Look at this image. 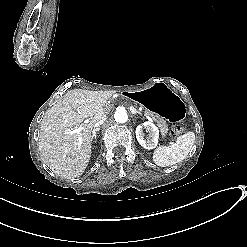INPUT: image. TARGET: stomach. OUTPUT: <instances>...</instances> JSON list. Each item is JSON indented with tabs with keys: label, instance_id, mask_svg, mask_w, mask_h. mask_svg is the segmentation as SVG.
<instances>
[{
	"label": "stomach",
	"instance_id": "1",
	"mask_svg": "<svg viewBox=\"0 0 247 247\" xmlns=\"http://www.w3.org/2000/svg\"><path fill=\"white\" fill-rule=\"evenodd\" d=\"M127 95L165 121L175 123L181 122L185 118V102L163 83H157Z\"/></svg>",
	"mask_w": 247,
	"mask_h": 247
}]
</instances>
